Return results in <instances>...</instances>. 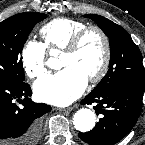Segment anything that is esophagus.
<instances>
[{"label":"esophagus","mask_w":145,"mask_h":145,"mask_svg":"<svg viewBox=\"0 0 145 145\" xmlns=\"http://www.w3.org/2000/svg\"><path fill=\"white\" fill-rule=\"evenodd\" d=\"M59 111H62V112H66V111H72L73 110V107H68V108H58Z\"/></svg>","instance_id":"34e87169"}]
</instances>
